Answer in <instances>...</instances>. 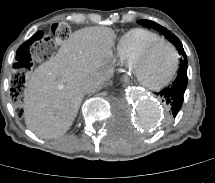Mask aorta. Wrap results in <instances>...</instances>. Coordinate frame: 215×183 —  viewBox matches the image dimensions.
Wrapping results in <instances>:
<instances>
[{"label":"aorta","instance_id":"1","mask_svg":"<svg viewBox=\"0 0 215 183\" xmlns=\"http://www.w3.org/2000/svg\"><path fill=\"white\" fill-rule=\"evenodd\" d=\"M119 102L129 108L134 122L142 128L151 129L161 123L163 109L153 99L145 98L140 91L131 90L127 92L118 91ZM134 102L133 106L130 102Z\"/></svg>","mask_w":215,"mask_h":183}]
</instances>
